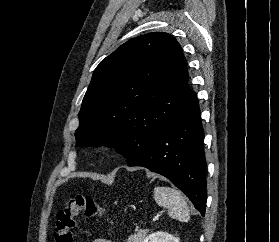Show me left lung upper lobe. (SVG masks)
Instances as JSON below:
<instances>
[{
  "instance_id": "left-lung-upper-lobe-1",
  "label": "left lung upper lobe",
  "mask_w": 279,
  "mask_h": 242,
  "mask_svg": "<svg viewBox=\"0 0 279 242\" xmlns=\"http://www.w3.org/2000/svg\"><path fill=\"white\" fill-rule=\"evenodd\" d=\"M187 61L175 38H133L94 71L78 114L77 145L116 149L127 163L143 153L186 101Z\"/></svg>"
}]
</instances>
